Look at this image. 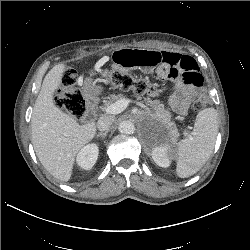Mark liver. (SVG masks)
Listing matches in <instances>:
<instances>
[{"mask_svg":"<svg viewBox=\"0 0 250 250\" xmlns=\"http://www.w3.org/2000/svg\"><path fill=\"white\" fill-rule=\"evenodd\" d=\"M63 63L45 76L31 117L32 144L44 168L56 179L67 182L75 157L96 134L95 122L80 125L54 104V92L62 83Z\"/></svg>","mask_w":250,"mask_h":250,"instance_id":"6515ba94","label":"liver"}]
</instances>
